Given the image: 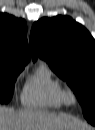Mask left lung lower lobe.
Listing matches in <instances>:
<instances>
[{"instance_id":"left-lung-lower-lobe-1","label":"left lung lower lobe","mask_w":95,"mask_h":130,"mask_svg":"<svg viewBox=\"0 0 95 130\" xmlns=\"http://www.w3.org/2000/svg\"><path fill=\"white\" fill-rule=\"evenodd\" d=\"M88 122H90V121H88ZM90 123L93 124V125H95V121H91Z\"/></svg>"}]
</instances>
